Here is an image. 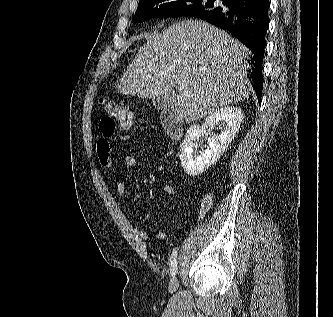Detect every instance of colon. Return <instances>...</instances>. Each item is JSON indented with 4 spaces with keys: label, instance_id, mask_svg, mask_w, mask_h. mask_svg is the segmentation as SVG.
Instances as JSON below:
<instances>
[{
    "label": "colon",
    "instance_id": "obj_1",
    "mask_svg": "<svg viewBox=\"0 0 333 317\" xmlns=\"http://www.w3.org/2000/svg\"><path fill=\"white\" fill-rule=\"evenodd\" d=\"M105 114L100 120L99 128L103 135L111 136L116 131H126L133 124L132 111L121 103H108L104 107Z\"/></svg>",
    "mask_w": 333,
    "mask_h": 317
}]
</instances>
